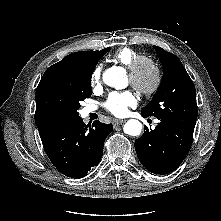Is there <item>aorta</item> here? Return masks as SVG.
Returning <instances> with one entry per match:
<instances>
[{"label":"aorta","instance_id":"obj_1","mask_svg":"<svg viewBox=\"0 0 221 221\" xmlns=\"http://www.w3.org/2000/svg\"><path fill=\"white\" fill-rule=\"evenodd\" d=\"M103 81L106 85L116 89H122L126 87L127 84L125 72L119 67H111L107 69L103 73ZM123 130L128 135L138 136L141 133L142 124L136 119H130L125 123Z\"/></svg>","mask_w":221,"mask_h":221}]
</instances>
